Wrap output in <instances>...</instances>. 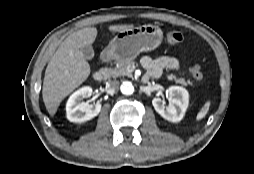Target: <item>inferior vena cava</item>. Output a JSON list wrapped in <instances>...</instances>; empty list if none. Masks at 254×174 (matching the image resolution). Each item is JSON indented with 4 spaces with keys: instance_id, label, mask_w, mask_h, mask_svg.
<instances>
[{
    "instance_id": "obj_1",
    "label": "inferior vena cava",
    "mask_w": 254,
    "mask_h": 174,
    "mask_svg": "<svg viewBox=\"0 0 254 174\" xmlns=\"http://www.w3.org/2000/svg\"><path fill=\"white\" fill-rule=\"evenodd\" d=\"M108 86L112 90H116L119 87V81L117 80H112L108 83Z\"/></svg>"
}]
</instances>
